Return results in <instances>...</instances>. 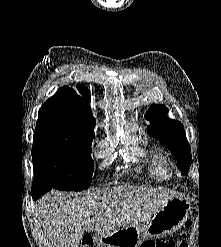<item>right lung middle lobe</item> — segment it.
Instances as JSON below:
<instances>
[{
	"instance_id": "dd1d6c3e",
	"label": "right lung middle lobe",
	"mask_w": 221,
	"mask_h": 247,
	"mask_svg": "<svg viewBox=\"0 0 221 247\" xmlns=\"http://www.w3.org/2000/svg\"><path fill=\"white\" fill-rule=\"evenodd\" d=\"M93 138L63 130H35L32 149L35 181L61 191H82L92 181Z\"/></svg>"
}]
</instances>
